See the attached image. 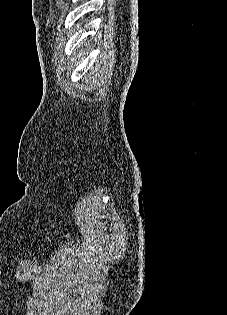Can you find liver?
<instances>
[{"mask_svg": "<svg viewBox=\"0 0 227 315\" xmlns=\"http://www.w3.org/2000/svg\"><path fill=\"white\" fill-rule=\"evenodd\" d=\"M85 53L84 52H79L78 55L73 59V61L75 62V64L77 63V59H79L80 61H82L81 56H84ZM81 58V59H80Z\"/></svg>", "mask_w": 227, "mask_h": 315, "instance_id": "liver-1", "label": "liver"}]
</instances>
